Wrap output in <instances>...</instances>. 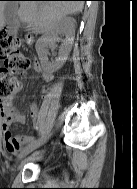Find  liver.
<instances>
[{"instance_id":"liver-1","label":"liver","mask_w":137,"mask_h":189,"mask_svg":"<svg viewBox=\"0 0 137 189\" xmlns=\"http://www.w3.org/2000/svg\"><path fill=\"white\" fill-rule=\"evenodd\" d=\"M17 16L28 29L34 33H46L66 15H73L82 11L83 1H20ZM6 1H0V31L6 18L4 9Z\"/></svg>"}]
</instances>
